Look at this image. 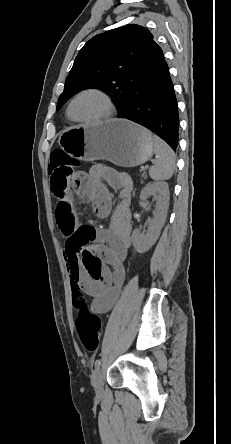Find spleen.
<instances>
[{"mask_svg": "<svg viewBox=\"0 0 231 444\" xmlns=\"http://www.w3.org/2000/svg\"><path fill=\"white\" fill-rule=\"evenodd\" d=\"M156 162L149 169L150 177L155 181L168 180L175 170V153L161 138L153 136Z\"/></svg>", "mask_w": 231, "mask_h": 444, "instance_id": "spleen-1", "label": "spleen"}]
</instances>
